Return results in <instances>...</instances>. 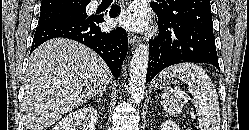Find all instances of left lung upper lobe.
Instances as JSON below:
<instances>
[{
	"instance_id": "obj_1",
	"label": "left lung upper lobe",
	"mask_w": 249,
	"mask_h": 130,
	"mask_svg": "<svg viewBox=\"0 0 249 130\" xmlns=\"http://www.w3.org/2000/svg\"><path fill=\"white\" fill-rule=\"evenodd\" d=\"M155 13L167 20H179L213 29L209 0H166L150 5Z\"/></svg>"
}]
</instances>
